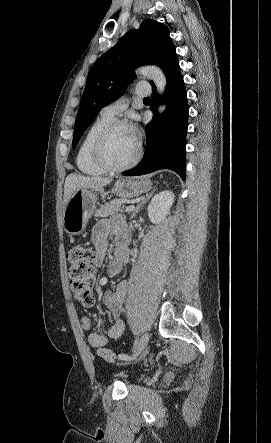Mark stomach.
Instances as JSON below:
<instances>
[{
  "mask_svg": "<svg viewBox=\"0 0 271 443\" xmlns=\"http://www.w3.org/2000/svg\"><path fill=\"white\" fill-rule=\"evenodd\" d=\"M152 184L147 178H131V180H117L113 192L118 198H136L150 192ZM97 196L91 190H75L69 198L63 212V225L67 233L79 235L83 233L97 204Z\"/></svg>",
  "mask_w": 271,
  "mask_h": 443,
  "instance_id": "obj_1",
  "label": "stomach"
}]
</instances>
